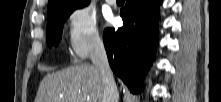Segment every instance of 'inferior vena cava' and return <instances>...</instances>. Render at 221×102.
Here are the masks:
<instances>
[{"label": "inferior vena cava", "mask_w": 221, "mask_h": 102, "mask_svg": "<svg viewBox=\"0 0 221 102\" xmlns=\"http://www.w3.org/2000/svg\"><path fill=\"white\" fill-rule=\"evenodd\" d=\"M90 58L93 64L100 70L104 84L103 102H118L119 94L114 80L113 72L109 66L103 41L100 37L94 39Z\"/></svg>", "instance_id": "1"}]
</instances>
